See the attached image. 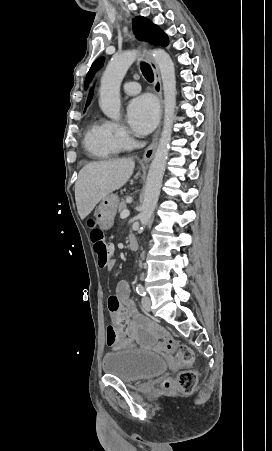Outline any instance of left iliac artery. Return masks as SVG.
Masks as SVG:
<instances>
[{"label":"left iliac artery","instance_id":"left-iliac-artery-1","mask_svg":"<svg viewBox=\"0 0 272 451\" xmlns=\"http://www.w3.org/2000/svg\"><path fill=\"white\" fill-rule=\"evenodd\" d=\"M136 291L140 296H145L146 295V291L145 288L141 285V284H137L136 286Z\"/></svg>","mask_w":272,"mask_h":451}]
</instances>
